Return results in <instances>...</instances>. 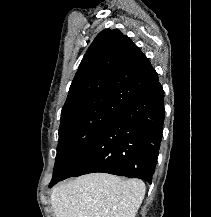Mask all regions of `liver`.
Returning a JSON list of instances; mask_svg holds the SVG:
<instances>
[{
  "instance_id": "obj_1",
  "label": "liver",
  "mask_w": 211,
  "mask_h": 217,
  "mask_svg": "<svg viewBox=\"0 0 211 217\" xmlns=\"http://www.w3.org/2000/svg\"><path fill=\"white\" fill-rule=\"evenodd\" d=\"M145 196L138 179L91 173L54 188L55 217H135Z\"/></svg>"
}]
</instances>
